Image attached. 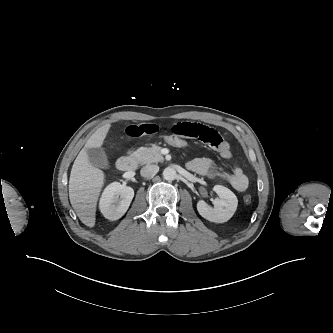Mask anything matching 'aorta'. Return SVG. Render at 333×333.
Returning <instances> with one entry per match:
<instances>
[{
    "instance_id": "762f6f07",
    "label": "aorta",
    "mask_w": 333,
    "mask_h": 333,
    "mask_svg": "<svg viewBox=\"0 0 333 333\" xmlns=\"http://www.w3.org/2000/svg\"><path fill=\"white\" fill-rule=\"evenodd\" d=\"M176 170L172 167H167L163 171V178L167 181H173L176 178Z\"/></svg>"
}]
</instances>
